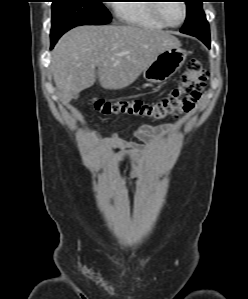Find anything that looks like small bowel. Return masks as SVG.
I'll use <instances>...</instances> for the list:
<instances>
[{"mask_svg": "<svg viewBox=\"0 0 248 299\" xmlns=\"http://www.w3.org/2000/svg\"><path fill=\"white\" fill-rule=\"evenodd\" d=\"M174 128L173 124L160 126L142 124L134 130V135L144 143L142 146L126 142L117 135H111L106 140V145L120 150L132 149L137 153L147 155L152 150H159ZM97 138L94 136V139Z\"/></svg>", "mask_w": 248, "mask_h": 299, "instance_id": "c3829d8e", "label": "small bowel"}]
</instances>
